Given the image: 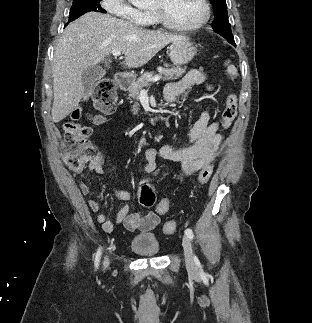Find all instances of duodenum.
<instances>
[{"mask_svg": "<svg viewBox=\"0 0 312 323\" xmlns=\"http://www.w3.org/2000/svg\"><path fill=\"white\" fill-rule=\"evenodd\" d=\"M115 81L119 89L125 90L130 86L132 81V76L127 73L120 72L116 75ZM165 120H166L165 114L160 112L148 118L146 120V123L151 127H158L159 125L164 123Z\"/></svg>", "mask_w": 312, "mask_h": 323, "instance_id": "duodenum-1", "label": "duodenum"}]
</instances>
